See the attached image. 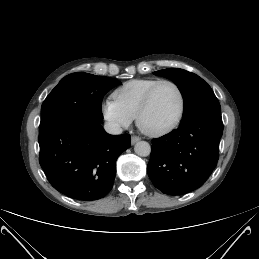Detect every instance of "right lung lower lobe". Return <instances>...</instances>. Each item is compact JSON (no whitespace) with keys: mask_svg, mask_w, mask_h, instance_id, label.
I'll return each instance as SVG.
<instances>
[{"mask_svg":"<svg viewBox=\"0 0 259 259\" xmlns=\"http://www.w3.org/2000/svg\"><path fill=\"white\" fill-rule=\"evenodd\" d=\"M39 162L48 181L80 201L103 198L112 188L118 156L130 136L110 135L97 122L64 119L40 128Z\"/></svg>","mask_w":259,"mask_h":259,"instance_id":"98d812e1","label":"right lung lower lobe"}]
</instances>
